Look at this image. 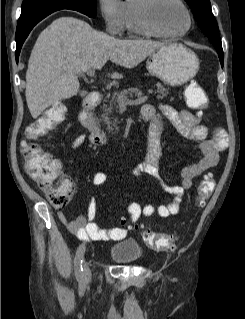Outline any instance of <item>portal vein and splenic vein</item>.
Masks as SVG:
<instances>
[{"instance_id": "obj_1", "label": "portal vein and splenic vein", "mask_w": 245, "mask_h": 319, "mask_svg": "<svg viewBox=\"0 0 245 319\" xmlns=\"http://www.w3.org/2000/svg\"><path fill=\"white\" fill-rule=\"evenodd\" d=\"M98 69H100V68H98ZM95 71H96V69H90L87 71V75L90 77H96ZM152 92H153L152 90H148L147 96L139 97L136 100H130L128 98L120 96V97H118V103L120 106L126 107L127 105H134V104H138L141 102H145L148 99V96L150 94H152Z\"/></svg>"}]
</instances>
